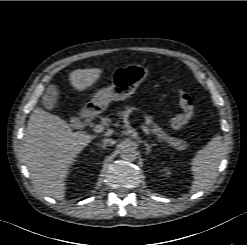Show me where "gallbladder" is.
Returning a JSON list of instances; mask_svg holds the SVG:
<instances>
[{
    "label": "gallbladder",
    "mask_w": 247,
    "mask_h": 245,
    "mask_svg": "<svg viewBox=\"0 0 247 245\" xmlns=\"http://www.w3.org/2000/svg\"><path fill=\"white\" fill-rule=\"evenodd\" d=\"M58 93L55 87L49 86L42 96V105L46 110H53L57 104Z\"/></svg>",
    "instance_id": "1"
}]
</instances>
